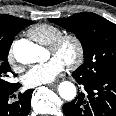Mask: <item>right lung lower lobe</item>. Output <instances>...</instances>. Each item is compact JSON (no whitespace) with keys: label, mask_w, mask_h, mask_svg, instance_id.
I'll return each mask as SVG.
<instances>
[{"label":"right lung lower lobe","mask_w":116,"mask_h":116,"mask_svg":"<svg viewBox=\"0 0 116 116\" xmlns=\"http://www.w3.org/2000/svg\"><path fill=\"white\" fill-rule=\"evenodd\" d=\"M20 86L19 83H15L8 90L0 92V116H27L29 114L33 89L20 93L17 101L11 102V98H16L15 92Z\"/></svg>","instance_id":"right-lung-lower-lobe-1"}]
</instances>
